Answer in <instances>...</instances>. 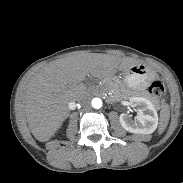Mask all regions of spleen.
Masks as SVG:
<instances>
[{"mask_svg": "<svg viewBox=\"0 0 183 183\" xmlns=\"http://www.w3.org/2000/svg\"><path fill=\"white\" fill-rule=\"evenodd\" d=\"M170 117L169 106L164 105L160 112L159 134L163 133L168 125Z\"/></svg>", "mask_w": 183, "mask_h": 183, "instance_id": "3e777b00", "label": "spleen"}]
</instances>
